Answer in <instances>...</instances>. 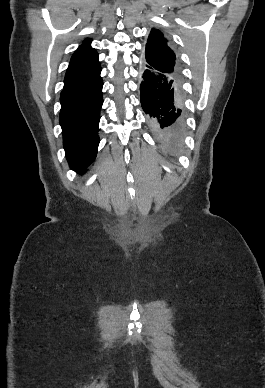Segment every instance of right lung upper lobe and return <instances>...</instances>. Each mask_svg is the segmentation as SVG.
Returning a JSON list of instances; mask_svg holds the SVG:
<instances>
[{"instance_id":"cb5924a9","label":"right lung upper lobe","mask_w":265,"mask_h":388,"mask_svg":"<svg viewBox=\"0 0 265 388\" xmlns=\"http://www.w3.org/2000/svg\"><path fill=\"white\" fill-rule=\"evenodd\" d=\"M91 39L87 38L73 54L67 69L64 84L84 81L101 72L98 53L90 46Z\"/></svg>"}]
</instances>
